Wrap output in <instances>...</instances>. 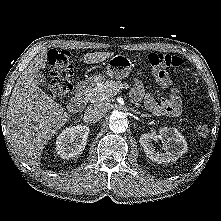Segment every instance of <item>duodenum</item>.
Returning a JSON list of instances; mask_svg holds the SVG:
<instances>
[{"mask_svg":"<svg viewBox=\"0 0 221 221\" xmlns=\"http://www.w3.org/2000/svg\"><path fill=\"white\" fill-rule=\"evenodd\" d=\"M91 81H83L76 87L75 93L71 101L69 102L68 108L70 111H78L81 106L88 101L89 92L91 88Z\"/></svg>","mask_w":221,"mask_h":221,"instance_id":"410a0bca","label":"duodenum"}]
</instances>
